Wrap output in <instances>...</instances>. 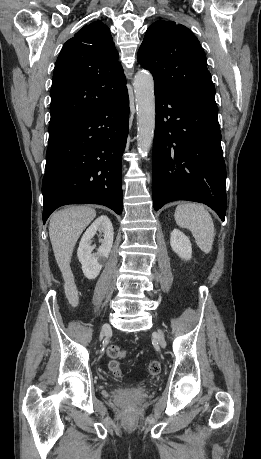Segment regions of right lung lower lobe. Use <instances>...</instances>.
Masks as SVG:
<instances>
[{
  "instance_id": "1",
  "label": "right lung lower lobe",
  "mask_w": 261,
  "mask_h": 459,
  "mask_svg": "<svg viewBox=\"0 0 261 459\" xmlns=\"http://www.w3.org/2000/svg\"><path fill=\"white\" fill-rule=\"evenodd\" d=\"M128 122L126 88L49 140L42 182L43 223L67 204H101L122 213V154Z\"/></svg>"
}]
</instances>
